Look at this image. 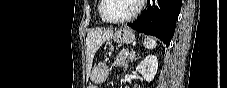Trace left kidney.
<instances>
[{
    "label": "left kidney",
    "mask_w": 227,
    "mask_h": 88,
    "mask_svg": "<svg viewBox=\"0 0 227 88\" xmlns=\"http://www.w3.org/2000/svg\"><path fill=\"white\" fill-rule=\"evenodd\" d=\"M157 69L158 61L155 55H148L136 67V71H138L148 82H151L154 79Z\"/></svg>",
    "instance_id": "left-kidney-1"
}]
</instances>
